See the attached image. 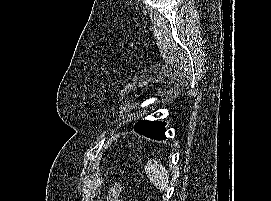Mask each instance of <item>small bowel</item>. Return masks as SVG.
<instances>
[{
	"label": "small bowel",
	"instance_id": "c3829d8e",
	"mask_svg": "<svg viewBox=\"0 0 271 201\" xmlns=\"http://www.w3.org/2000/svg\"><path fill=\"white\" fill-rule=\"evenodd\" d=\"M107 201H120L119 199V187H114L113 189H111V191L109 192Z\"/></svg>",
	"mask_w": 271,
	"mask_h": 201
}]
</instances>
